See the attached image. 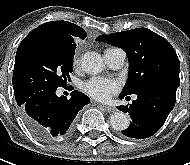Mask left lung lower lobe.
<instances>
[{"instance_id":"1","label":"left lung lower lobe","mask_w":190,"mask_h":165,"mask_svg":"<svg viewBox=\"0 0 190 165\" xmlns=\"http://www.w3.org/2000/svg\"><path fill=\"white\" fill-rule=\"evenodd\" d=\"M177 86L167 83L148 85L134 94L137 99L129 106L118 109L129 113L132 121L122 133L131 138L143 139L154 135L165 123L176 101ZM121 99L123 95L119 96Z\"/></svg>"}]
</instances>
